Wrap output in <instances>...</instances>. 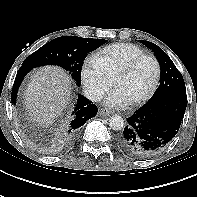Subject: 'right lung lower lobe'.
Here are the masks:
<instances>
[{
    "mask_svg": "<svg viewBox=\"0 0 197 197\" xmlns=\"http://www.w3.org/2000/svg\"><path fill=\"white\" fill-rule=\"evenodd\" d=\"M31 67H24L21 66L20 69L17 72L14 85L12 88V102H16L17 92L19 89V86L24 79L25 75L32 70ZM97 107L92 104L91 101H89L87 98H85L82 95L78 96L77 103L74 107V110L72 112L71 121H69L64 129H63V136L66 140L73 139L77 132L79 131V128L85 124L87 120L94 117L97 114Z\"/></svg>",
    "mask_w": 197,
    "mask_h": 197,
    "instance_id": "right-lung-lower-lobe-1",
    "label": "right lung lower lobe"
}]
</instances>
